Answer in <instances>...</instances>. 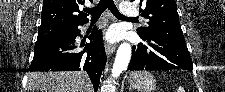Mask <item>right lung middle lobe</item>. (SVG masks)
I'll return each mask as SVG.
<instances>
[{
  "label": "right lung middle lobe",
  "instance_id": "1",
  "mask_svg": "<svg viewBox=\"0 0 225 92\" xmlns=\"http://www.w3.org/2000/svg\"><path fill=\"white\" fill-rule=\"evenodd\" d=\"M75 27L69 26H48L39 27L36 44L51 40L64 39L72 33Z\"/></svg>",
  "mask_w": 225,
  "mask_h": 92
}]
</instances>
